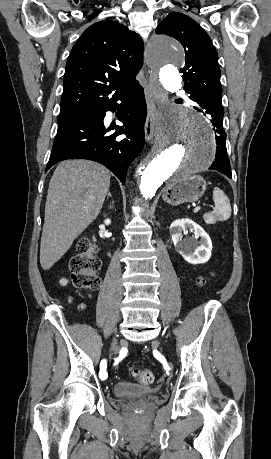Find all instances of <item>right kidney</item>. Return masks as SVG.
Segmentation results:
<instances>
[{
	"mask_svg": "<svg viewBox=\"0 0 271 459\" xmlns=\"http://www.w3.org/2000/svg\"><path fill=\"white\" fill-rule=\"evenodd\" d=\"M104 224H106V226H109V224H111V220H109V218H107V220H104Z\"/></svg>",
	"mask_w": 271,
	"mask_h": 459,
	"instance_id": "right-kidney-1",
	"label": "right kidney"
}]
</instances>
